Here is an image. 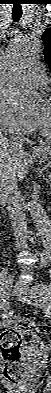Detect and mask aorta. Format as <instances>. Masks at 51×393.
<instances>
[{"label": "aorta", "mask_w": 51, "mask_h": 393, "mask_svg": "<svg viewBox=\"0 0 51 393\" xmlns=\"http://www.w3.org/2000/svg\"><path fill=\"white\" fill-rule=\"evenodd\" d=\"M42 54L40 40L26 35L11 41L2 62V93L12 107L19 112H32L40 105V97L28 81L29 70L37 63ZM28 210L36 229L41 236L43 252L41 262H51V222L37 201L28 202Z\"/></svg>", "instance_id": "aorta-1"}]
</instances>
